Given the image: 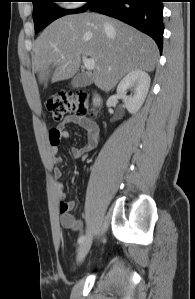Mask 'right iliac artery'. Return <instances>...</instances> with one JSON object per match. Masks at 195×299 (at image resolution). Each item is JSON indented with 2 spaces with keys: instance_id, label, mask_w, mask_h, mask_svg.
Returning <instances> with one entry per match:
<instances>
[{
  "instance_id": "right-iliac-artery-1",
  "label": "right iliac artery",
  "mask_w": 195,
  "mask_h": 299,
  "mask_svg": "<svg viewBox=\"0 0 195 299\" xmlns=\"http://www.w3.org/2000/svg\"><path fill=\"white\" fill-rule=\"evenodd\" d=\"M83 240H84V236L81 235V236L79 237V239H78V243L81 244V243L83 242Z\"/></svg>"
}]
</instances>
